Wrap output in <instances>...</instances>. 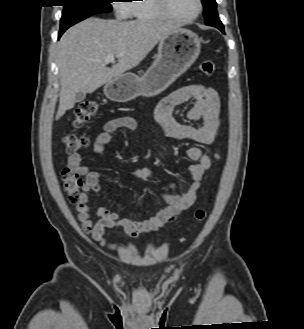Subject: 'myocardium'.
I'll use <instances>...</instances> for the list:
<instances>
[{"label": "myocardium", "instance_id": "f54148a6", "mask_svg": "<svg viewBox=\"0 0 304 329\" xmlns=\"http://www.w3.org/2000/svg\"><path fill=\"white\" fill-rule=\"evenodd\" d=\"M197 2H198L197 12L192 16L184 17V16H179V15L175 14L171 10L169 0H156V3L158 5L159 9L163 12V14L167 18H169L171 20H175V21H180V22H190V21L197 19L201 15L203 8H204L203 1L197 0Z\"/></svg>", "mask_w": 304, "mask_h": 329}]
</instances>
